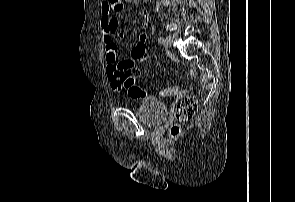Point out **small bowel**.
<instances>
[{"instance_id":"1","label":"small bowel","mask_w":295,"mask_h":202,"mask_svg":"<svg viewBox=\"0 0 295 202\" xmlns=\"http://www.w3.org/2000/svg\"><path fill=\"white\" fill-rule=\"evenodd\" d=\"M122 7L116 8L111 0H103L101 6V27L103 30L102 41L106 50L107 59V76L112 87L121 90V73L124 71L131 72L135 77L140 76L139 71L133 70V66L137 63H144L148 60L146 53V33L142 31L139 34L138 43L133 45L129 54L120 57L117 48V36L119 35L118 20L114 16V12H118ZM148 14L143 12V25L146 26Z\"/></svg>"}]
</instances>
